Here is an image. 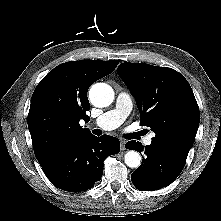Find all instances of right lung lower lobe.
Wrapping results in <instances>:
<instances>
[{
	"mask_svg": "<svg viewBox=\"0 0 221 221\" xmlns=\"http://www.w3.org/2000/svg\"><path fill=\"white\" fill-rule=\"evenodd\" d=\"M119 151L120 142L116 137L90 135L41 166L54 186L80 192L92 188L101 179L105 158Z\"/></svg>",
	"mask_w": 221,
	"mask_h": 221,
	"instance_id": "right-lung-lower-lobe-1",
	"label": "right lung lower lobe"
}]
</instances>
